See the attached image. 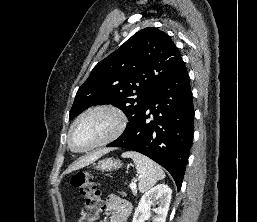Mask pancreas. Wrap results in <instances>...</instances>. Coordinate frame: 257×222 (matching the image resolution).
<instances>
[{"mask_svg":"<svg viewBox=\"0 0 257 222\" xmlns=\"http://www.w3.org/2000/svg\"><path fill=\"white\" fill-rule=\"evenodd\" d=\"M132 192H133L134 195H136V194H137L136 188H135V189H132Z\"/></svg>","mask_w":257,"mask_h":222,"instance_id":"1","label":"pancreas"}]
</instances>
